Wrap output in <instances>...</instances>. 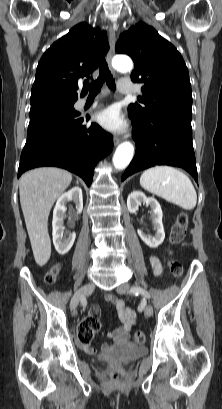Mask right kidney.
Here are the masks:
<instances>
[{
    "instance_id": "obj_1",
    "label": "right kidney",
    "mask_w": 222,
    "mask_h": 409,
    "mask_svg": "<svg viewBox=\"0 0 222 409\" xmlns=\"http://www.w3.org/2000/svg\"><path fill=\"white\" fill-rule=\"evenodd\" d=\"M69 201H73L76 204L77 214H80L83 210V196L82 189L80 187L78 186L73 187L68 192L62 194L58 198L53 211L52 221L53 244L55 246L56 251L60 255H64L69 252L76 238L75 232L64 233L65 228L63 226V220L65 217V212L67 210L66 204Z\"/></svg>"
}]
</instances>
